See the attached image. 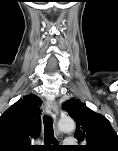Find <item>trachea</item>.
I'll return each mask as SVG.
<instances>
[{"label":"trachea","instance_id":"obj_1","mask_svg":"<svg viewBox=\"0 0 118 151\" xmlns=\"http://www.w3.org/2000/svg\"><path fill=\"white\" fill-rule=\"evenodd\" d=\"M44 122V140L46 143H56L53 130V120L51 117L45 116L43 118Z\"/></svg>","mask_w":118,"mask_h":151}]
</instances>
